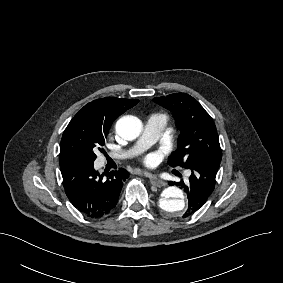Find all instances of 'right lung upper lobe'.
Returning a JSON list of instances; mask_svg holds the SVG:
<instances>
[{
  "mask_svg": "<svg viewBox=\"0 0 283 283\" xmlns=\"http://www.w3.org/2000/svg\"><path fill=\"white\" fill-rule=\"evenodd\" d=\"M138 102L137 99H119L115 97L97 99L85 105L73 119L95 121L110 128L112 122L119 115L135 106Z\"/></svg>",
  "mask_w": 283,
  "mask_h": 283,
  "instance_id": "cb5924a9",
  "label": "right lung upper lobe"
}]
</instances>
